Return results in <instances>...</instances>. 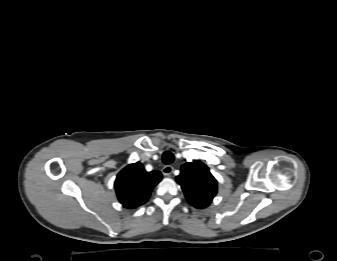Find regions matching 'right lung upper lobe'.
I'll list each match as a JSON object with an SVG mask.
<instances>
[{
	"instance_id": "1",
	"label": "right lung upper lobe",
	"mask_w": 337,
	"mask_h": 261,
	"mask_svg": "<svg viewBox=\"0 0 337 261\" xmlns=\"http://www.w3.org/2000/svg\"><path fill=\"white\" fill-rule=\"evenodd\" d=\"M162 179L159 171L147 172L140 162L126 166L115 180V190L120 203L135 209L147 202L151 191Z\"/></svg>"
}]
</instances>
